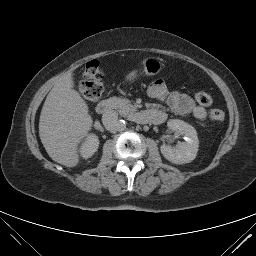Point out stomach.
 Here are the masks:
<instances>
[{"label":"stomach","instance_id":"stomach-1","mask_svg":"<svg viewBox=\"0 0 256 256\" xmlns=\"http://www.w3.org/2000/svg\"><path fill=\"white\" fill-rule=\"evenodd\" d=\"M144 72L147 76L156 75L162 69L161 61L155 57H148L143 61ZM138 77L136 71L129 73L126 77L127 81H134Z\"/></svg>","mask_w":256,"mask_h":256}]
</instances>
